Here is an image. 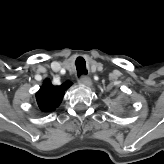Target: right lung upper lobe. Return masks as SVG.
Here are the masks:
<instances>
[{
    "mask_svg": "<svg viewBox=\"0 0 164 164\" xmlns=\"http://www.w3.org/2000/svg\"><path fill=\"white\" fill-rule=\"evenodd\" d=\"M71 83L67 82L61 86H53L49 80H45L43 86L36 94L37 105L43 112L55 109L63 99V92L69 88Z\"/></svg>",
    "mask_w": 164,
    "mask_h": 164,
    "instance_id": "cb5924a9",
    "label": "right lung upper lobe"
}]
</instances>
